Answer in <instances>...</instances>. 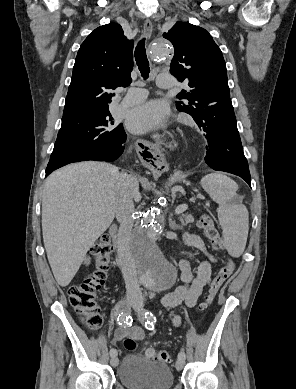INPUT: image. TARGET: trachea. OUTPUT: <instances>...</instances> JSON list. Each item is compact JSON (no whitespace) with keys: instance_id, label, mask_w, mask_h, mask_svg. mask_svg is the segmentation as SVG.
Segmentation results:
<instances>
[{"instance_id":"obj_1","label":"trachea","mask_w":296,"mask_h":389,"mask_svg":"<svg viewBox=\"0 0 296 389\" xmlns=\"http://www.w3.org/2000/svg\"><path fill=\"white\" fill-rule=\"evenodd\" d=\"M134 56L141 76L144 79H147L150 73V67L145 51V39L140 40L137 44Z\"/></svg>"}]
</instances>
